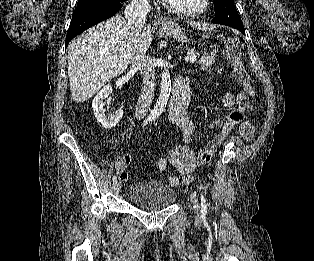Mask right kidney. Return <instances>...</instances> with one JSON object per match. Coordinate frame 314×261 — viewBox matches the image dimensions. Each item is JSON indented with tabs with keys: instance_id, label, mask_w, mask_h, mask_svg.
<instances>
[{
	"instance_id": "right-kidney-1",
	"label": "right kidney",
	"mask_w": 314,
	"mask_h": 261,
	"mask_svg": "<svg viewBox=\"0 0 314 261\" xmlns=\"http://www.w3.org/2000/svg\"><path fill=\"white\" fill-rule=\"evenodd\" d=\"M110 93H112V87L110 85H106L99 91L92 102L94 116L105 129H111L115 127L123 116L122 109H119L115 114H107L103 100L108 97Z\"/></svg>"
}]
</instances>
